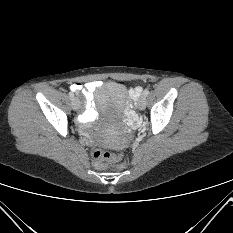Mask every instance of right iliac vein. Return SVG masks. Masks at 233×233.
<instances>
[{
	"label": "right iliac vein",
	"instance_id": "63e3f726",
	"mask_svg": "<svg viewBox=\"0 0 233 233\" xmlns=\"http://www.w3.org/2000/svg\"><path fill=\"white\" fill-rule=\"evenodd\" d=\"M71 105H72V109L73 110H78L80 108V101L78 100V98L74 97L71 100Z\"/></svg>",
	"mask_w": 233,
	"mask_h": 233
}]
</instances>
